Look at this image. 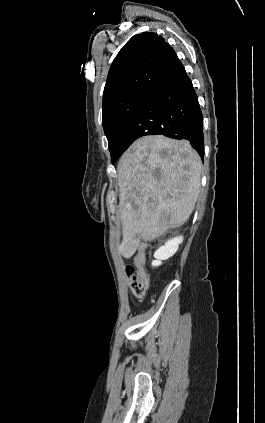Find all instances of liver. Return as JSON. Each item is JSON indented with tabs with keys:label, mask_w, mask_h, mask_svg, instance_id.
<instances>
[{
	"label": "liver",
	"mask_w": 265,
	"mask_h": 423,
	"mask_svg": "<svg viewBox=\"0 0 265 423\" xmlns=\"http://www.w3.org/2000/svg\"><path fill=\"white\" fill-rule=\"evenodd\" d=\"M202 163L189 141L163 135L135 141L118 166L119 209L124 258L140 239L151 241L182 226L194 210L200 192Z\"/></svg>",
	"instance_id": "obj_1"
}]
</instances>
